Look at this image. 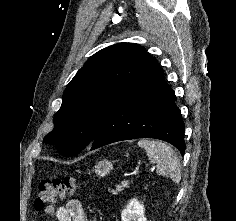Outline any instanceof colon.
I'll list each match as a JSON object with an SVG mask.
<instances>
[{
    "mask_svg": "<svg viewBox=\"0 0 236 221\" xmlns=\"http://www.w3.org/2000/svg\"><path fill=\"white\" fill-rule=\"evenodd\" d=\"M77 186L76 179L70 176L42 181L38 186L35 199L36 209L43 210L53 205L57 199L73 194Z\"/></svg>",
    "mask_w": 236,
    "mask_h": 221,
    "instance_id": "5ec220e1",
    "label": "colon"
}]
</instances>
